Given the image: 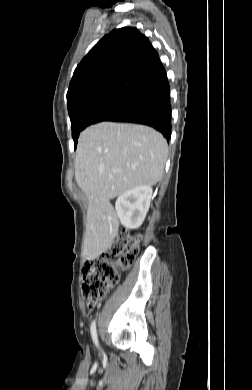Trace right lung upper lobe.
I'll return each mask as SVG.
<instances>
[{"mask_svg": "<svg viewBox=\"0 0 252 390\" xmlns=\"http://www.w3.org/2000/svg\"><path fill=\"white\" fill-rule=\"evenodd\" d=\"M166 79L158 53L145 35L131 27L113 30L76 67L67 92L68 112L101 97L136 98Z\"/></svg>", "mask_w": 252, "mask_h": 390, "instance_id": "cb5924a9", "label": "right lung upper lobe"}]
</instances>
